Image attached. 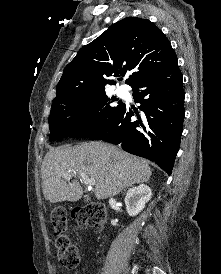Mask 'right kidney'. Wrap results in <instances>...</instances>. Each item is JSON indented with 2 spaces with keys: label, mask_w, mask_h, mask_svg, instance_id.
Listing matches in <instances>:
<instances>
[{
  "label": "right kidney",
  "mask_w": 221,
  "mask_h": 274,
  "mask_svg": "<svg viewBox=\"0 0 221 274\" xmlns=\"http://www.w3.org/2000/svg\"><path fill=\"white\" fill-rule=\"evenodd\" d=\"M151 197L152 190L147 185L141 184L138 187L129 189L124 200L128 214L130 216L138 215Z\"/></svg>",
  "instance_id": "right-kidney-1"
}]
</instances>
